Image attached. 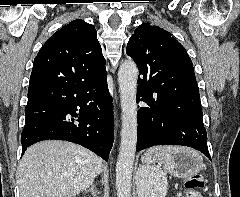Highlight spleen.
<instances>
[{"label":"spleen","instance_id":"obj_1","mask_svg":"<svg viewBox=\"0 0 240 197\" xmlns=\"http://www.w3.org/2000/svg\"><path fill=\"white\" fill-rule=\"evenodd\" d=\"M180 147L173 146H156L148 150L158 159V165L145 166L140 171V176L144 179V185L141 190V197H165L167 193V177L161 169L162 161L170 160V156L174 152L180 151Z\"/></svg>","mask_w":240,"mask_h":197}]
</instances>
